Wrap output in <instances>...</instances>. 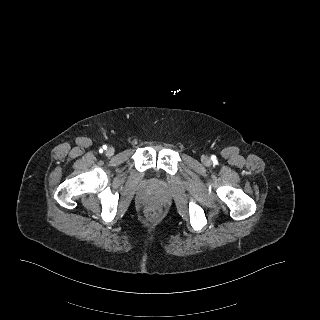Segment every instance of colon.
I'll return each instance as SVG.
<instances>
[{"label": "colon", "mask_w": 320, "mask_h": 320, "mask_svg": "<svg viewBox=\"0 0 320 320\" xmlns=\"http://www.w3.org/2000/svg\"><path fill=\"white\" fill-rule=\"evenodd\" d=\"M146 214L149 218L151 219H154L158 216V210L155 209V208H149L147 211H146Z\"/></svg>", "instance_id": "1"}]
</instances>
